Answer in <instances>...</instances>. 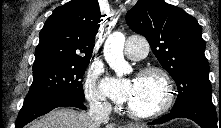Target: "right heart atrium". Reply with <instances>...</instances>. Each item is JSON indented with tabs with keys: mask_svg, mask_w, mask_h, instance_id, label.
Segmentation results:
<instances>
[{
	"mask_svg": "<svg viewBox=\"0 0 221 128\" xmlns=\"http://www.w3.org/2000/svg\"><path fill=\"white\" fill-rule=\"evenodd\" d=\"M101 75V70L92 68L88 70L85 83V95L90 105L98 108L107 107L104 96L97 88V80Z\"/></svg>",
	"mask_w": 221,
	"mask_h": 128,
	"instance_id": "d8ad5b80",
	"label": "right heart atrium"
}]
</instances>
